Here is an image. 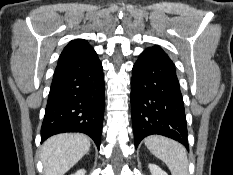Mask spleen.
Returning <instances> with one entry per match:
<instances>
[{"instance_id": "spleen-1", "label": "spleen", "mask_w": 233, "mask_h": 175, "mask_svg": "<svg viewBox=\"0 0 233 175\" xmlns=\"http://www.w3.org/2000/svg\"><path fill=\"white\" fill-rule=\"evenodd\" d=\"M145 146L166 163L172 175H189L186 149L169 138L152 135L145 139Z\"/></svg>"}]
</instances>
